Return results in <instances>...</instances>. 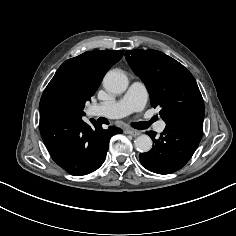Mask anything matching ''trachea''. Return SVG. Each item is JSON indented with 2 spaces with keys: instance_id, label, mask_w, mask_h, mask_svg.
<instances>
[{
  "instance_id": "obj_1",
  "label": "trachea",
  "mask_w": 236,
  "mask_h": 236,
  "mask_svg": "<svg viewBox=\"0 0 236 236\" xmlns=\"http://www.w3.org/2000/svg\"><path fill=\"white\" fill-rule=\"evenodd\" d=\"M151 121L148 122H134L131 124V126L135 129L143 130L147 129L151 125Z\"/></svg>"
}]
</instances>
